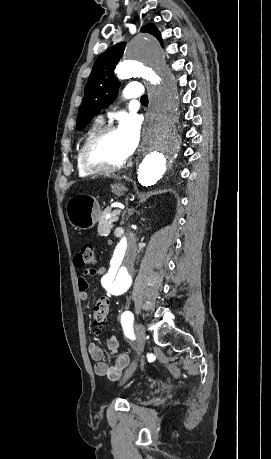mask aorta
I'll return each mask as SVG.
<instances>
[{
  "label": "aorta",
  "instance_id": "1",
  "mask_svg": "<svg viewBox=\"0 0 271 459\" xmlns=\"http://www.w3.org/2000/svg\"><path fill=\"white\" fill-rule=\"evenodd\" d=\"M126 56V60L116 67L117 77L142 76L150 84L151 101L137 170L138 182L147 187L161 180L178 156L179 141L174 126L178 108L176 80L163 59L160 45L150 36L134 38L127 47ZM136 257V234L129 231L119 240L101 279L109 293L121 295L129 289Z\"/></svg>",
  "mask_w": 271,
  "mask_h": 459
}]
</instances>
